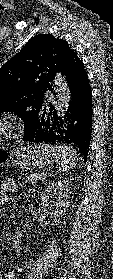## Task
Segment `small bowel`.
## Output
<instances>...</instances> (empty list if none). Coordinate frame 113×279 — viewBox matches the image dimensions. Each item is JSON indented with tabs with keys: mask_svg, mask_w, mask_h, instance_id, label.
I'll return each instance as SVG.
<instances>
[{
	"mask_svg": "<svg viewBox=\"0 0 113 279\" xmlns=\"http://www.w3.org/2000/svg\"><path fill=\"white\" fill-rule=\"evenodd\" d=\"M17 187L14 184L13 181L6 180L2 183L0 187V206L1 204H4L8 201L6 192H16ZM23 237L19 234L15 235L13 238V248L15 249L16 252L20 253L22 250V245H23ZM23 271L22 267H17L11 272L7 273L5 275L4 279H17V276L19 273Z\"/></svg>",
	"mask_w": 113,
	"mask_h": 279,
	"instance_id": "obj_1",
	"label": "small bowel"
}]
</instances>
